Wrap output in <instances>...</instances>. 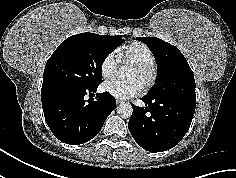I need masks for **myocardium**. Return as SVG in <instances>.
I'll return each instance as SVG.
<instances>
[{
  "mask_svg": "<svg viewBox=\"0 0 236 178\" xmlns=\"http://www.w3.org/2000/svg\"><path fill=\"white\" fill-rule=\"evenodd\" d=\"M131 67L140 70L146 75V79L142 84L143 89L148 90L155 84L157 79V69L154 65L136 62L132 63Z\"/></svg>",
  "mask_w": 236,
  "mask_h": 178,
  "instance_id": "obj_1",
  "label": "myocardium"
}]
</instances>
